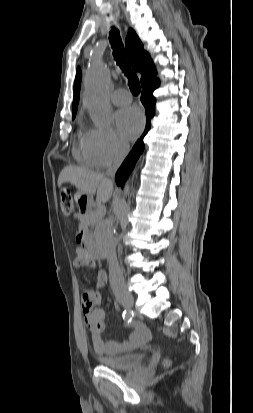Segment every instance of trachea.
<instances>
[{"instance_id": "3493384b", "label": "trachea", "mask_w": 253, "mask_h": 413, "mask_svg": "<svg viewBox=\"0 0 253 413\" xmlns=\"http://www.w3.org/2000/svg\"><path fill=\"white\" fill-rule=\"evenodd\" d=\"M110 43L113 48V55L120 66V68L125 73L126 77L128 78V85L130 87L131 92L134 95H138L140 93V82L134 72L130 69L129 64L126 59V54L124 50L123 43L120 38L119 31L117 29H112L110 31Z\"/></svg>"}]
</instances>
